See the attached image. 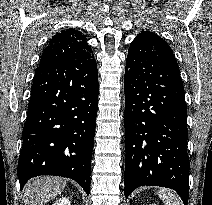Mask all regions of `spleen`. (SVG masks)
<instances>
[{
    "mask_svg": "<svg viewBox=\"0 0 212 205\" xmlns=\"http://www.w3.org/2000/svg\"><path fill=\"white\" fill-rule=\"evenodd\" d=\"M158 195L165 205H181L180 199L173 191L168 189H160Z\"/></svg>",
    "mask_w": 212,
    "mask_h": 205,
    "instance_id": "spleen-1",
    "label": "spleen"
}]
</instances>
